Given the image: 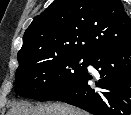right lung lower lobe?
<instances>
[{"mask_svg": "<svg viewBox=\"0 0 131 115\" xmlns=\"http://www.w3.org/2000/svg\"><path fill=\"white\" fill-rule=\"evenodd\" d=\"M100 74L96 82L87 69L55 100L94 115H131V45L99 52L88 58Z\"/></svg>", "mask_w": 131, "mask_h": 115, "instance_id": "obj_1", "label": "right lung lower lobe"}]
</instances>
